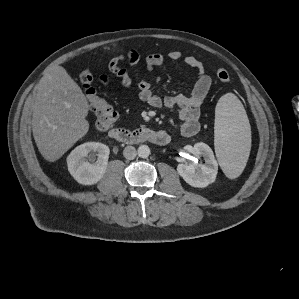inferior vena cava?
I'll use <instances>...</instances> for the list:
<instances>
[{"label": "inferior vena cava", "instance_id": "obj_1", "mask_svg": "<svg viewBox=\"0 0 299 299\" xmlns=\"http://www.w3.org/2000/svg\"><path fill=\"white\" fill-rule=\"evenodd\" d=\"M123 155L126 159L133 160L137 155V151L133 146H126L123 150Z\"/></svg>", "mask_w": 299, "mask_h": 299}]
</instances>
